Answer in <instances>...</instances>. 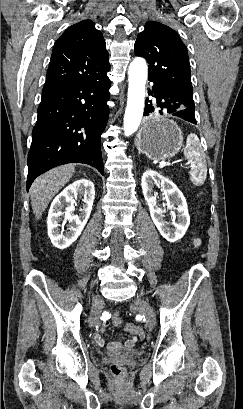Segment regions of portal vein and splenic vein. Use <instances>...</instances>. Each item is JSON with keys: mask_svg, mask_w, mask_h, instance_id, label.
<instances>
[{"mask_svg": "<svg viewBox=\"0 0 243 409\" xmlns=\"http://www.w3.org/2000/svg\"><path fill=\"white\" fill-rule=\"evenodd\" d=\"M166 165H170V164L167 163V162L162 161V162L159 164V168H163V167H165Z\"/></svg>", "mask_w": 243, "mask_h": 409, "instance_id": "18ae733b", "label": "portal vein and splenic vein"}]
</instances>
